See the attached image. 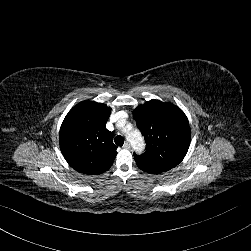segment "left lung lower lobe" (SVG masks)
Instances as JSON below:
<instances>
[{
    "label": "left lung lower lobe",
    "mask_w": 251,
    "mask_h": 251,
    "mask_svg": "<svg viewBox=\"0 0 251 251\" xmlns=\"http://www.w3.org/2000/svg\"><path fill=\"white\" fill-rule=\"evenodd\" d=\"M135 161H136L137 166L141 170H143V171H145L147 173L160 174L162 172L170 170V169L165 168V167H160V166H156V165H152V164L146 163V162L141 161V160H139L137 158H135Z\"/></svg>",
    "instance_id": "obj_1"
}]
</instances>
